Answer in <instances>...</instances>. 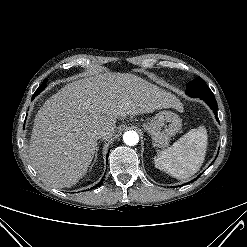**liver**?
I'll list each match as a JSON object with an SVG mask.
<instances>
[{"mask_svg":"<svg viewBox=\"0 0 247 247\" xmlns=\"http://www.w3.org/2000/svg\"><path fill=\"white\" fill-rule=\"evenodd\" d=\"M181 109L178 98L128 73H105L67 84L46 100L34 119L29 145L33 168L54 188L75 185L97 151L91 134L116 131L118 117Z\"/></svg>","mask_w":247,"mask_h":247,"instance_id":"obj_1","label":"liver"}]
</instances>
